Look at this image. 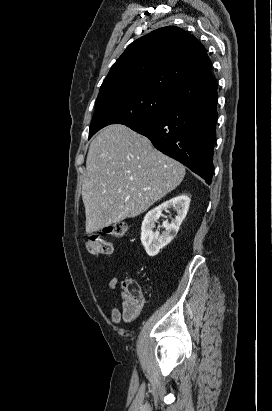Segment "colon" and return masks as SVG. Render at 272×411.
Here are the masks:
<instances>
[{
  "instance_id": "5ec220e1",
  "label": "colon",
  "mask_w": 272,
  "mask_h": 411,
  "mask_svg": "<svg viewBox=\"0 0 272 411\" xmlns=\"http://www.w3.org/2000/svg\"><path fill=\"white\" fill-rule=\"evenodd\" d=\"M127 225L118 221L106 225L100 231L92 233L86 240V248L91 254H111L113 244L110 238L121 237L126 233ZM122 315L130 321L137 317L142 306V290L132 279H126L121 286Z\"/></svg>"
}]
</instances>
